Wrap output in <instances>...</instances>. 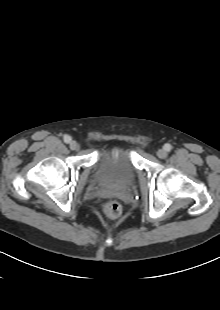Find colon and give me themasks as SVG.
Here are the masks:
<instances>
[{
	"instance_id": "colon-1",
	"label": "colon",
	"mask_w": 220,
	"mask_h": 310,
	"mask_svg": "<svg viewBox=\"0 0 220 310\" xmlns=\"http://www.w3.org/2000/svg\"><path fill=\"white\" fill-rule=\"evenodd\" d=\"M122 207L118 202L111 201L105 204L104 212L109 217H117L121 214Z\"/></svg>"
}]
</instances>
